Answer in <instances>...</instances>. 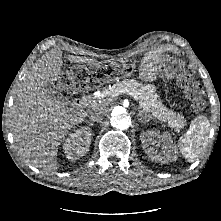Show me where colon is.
Masks as SVG:
<instances>
[{"instance_id":"obj_1","label":"colon","mask_w":221,"mask_h":221,"mask_svg":"<svg viewBox=\"0 0 221 221\" xmlns=\"http://www.w3.org/2000/svg\"><path fill=\"white\" fill-rule=\"evenodd\" d=\"M133 70V69H132ZM132 70H128L130 72ZM160 71L165 76H175L180 87L183 88L186 97L192 102L194 108L201 110L204 107L202 88L193 79L191 74L181 66L172 62L164 63ZM115 74V68L111 65L101 67L76 66L71 68L63 77L62 81L71 93H77L89 83H98L107 80Z\"/></svg>"}]
</instances>
